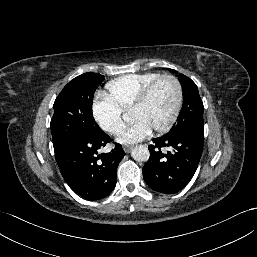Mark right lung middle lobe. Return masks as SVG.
I'll return each instance as SVG.
<instances>
[{"label": "right lung middle lobe", "instance_id": "1", "mask_svg": "<svg viewBox=\"0 0 257 257\" xmlns=\"http://www.w3.org/2000/svg\"><path fill=\"white\" fill-rule=\"evenodd\" d=\"M103 80V75L84 73L57 96L50 124L54 149L70 140H94L104 134L92 113L93 96Z\"/></svg>", "mask_w": 257, "mask_h": 257}]
</instances>
